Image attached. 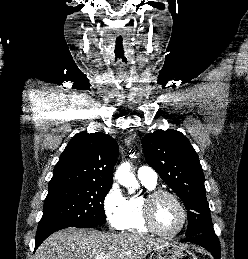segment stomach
<instances>
[{"label": "stomach", "instance_id": "0dacf381", "mask_svg": "<svg viewBox=\"0 0 248 259\" xmlns=\"http://www.w3.org/2000/svg\"><path fill=\"white\" fill-rule=\"evenodd\" d=\"M149 259H197L195 254L185 247L168 243L153 250Z\"/></svg>", "mask_w": 248, "mask_h": 259}]
</instances>
